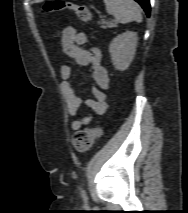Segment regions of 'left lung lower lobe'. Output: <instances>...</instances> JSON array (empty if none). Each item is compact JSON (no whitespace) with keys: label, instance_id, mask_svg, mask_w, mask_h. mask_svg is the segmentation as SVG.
<instances>
[{"label":"left lung lower lobe","instance_id":"left-lung-lower-lobe-1","mask_svg":"<svg viewBox=\"0 0 188 213\" xmlns=\"http://www.w3.org/2000/svg\"><path fill=\"white\" fill-rule=\"evenodd\" d=\"M138 2L142 8L145 10L147 16L150 15V0H135Z\"/></svg>","mask_w":188,"mask_h":213}]
</instances>
